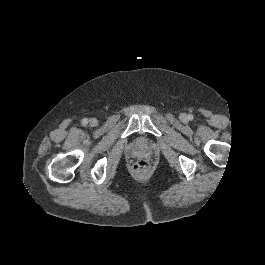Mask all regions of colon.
Listing matches in <instances>:
<instances>
[{
  "label": "colon",
  "instance_id": "colon-1",
  "mask_svg": "<svg viewBox=\"0 0 265 265\" xmlns=\"http://www.w3.org/2000/svg\"><path fill=\"white\" fill-rule=\"evenodd\" d=\"M136 173H145L149 169V164L145 160H139L133 165Z\"/></svg>",
  "mask_w": 265,
  "mask_h": 265
}]
</instances>
